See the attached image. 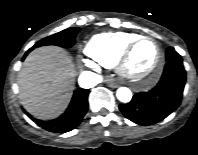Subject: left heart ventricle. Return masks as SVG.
Here are the masks:
<instances>
[{
	"instance_id": "left-heart-ventricle-1",
	"label": "left heart ventricle",
	"mask_w": 198,
	"mask_h": 155,
	"mask_svg": "<svg viewBox=\"0 0 198 155\" xmlns=\"http://www.w3.org/2000/svg\"><path fill=\"white\" fill-rule=\"evenodd\" d=\"M157 58V47L154 42L145 40L140 42L132 52L128 63V70L136 75L147 74Z\"/></svg>"
}]
</instances>
